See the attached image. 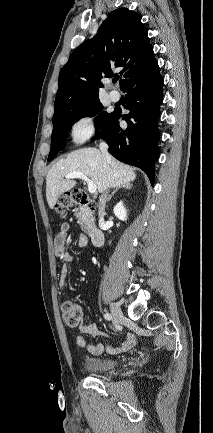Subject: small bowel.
<instances>
[{
	"instance_id": "c3829d8e",
	"label": "small bowel",
	"mask_w": 213,
	"mask_h": 433,
	"mask_svg": "<svg viewBox=\"0 0 213 433\" xmlns=\"http://www.w3.org/2000/svg\"><path fill=\"white\" fill-rule=\"evenodd\" d=\"M69 233V224L63 223L54 237L55 255L60 259V286L64 289L68 288L67 276L69 273V264L73 262L74 255L66 250V241ZM88 238L85 234H80L77 240L79 247H84L87 244ZM80 335L76 338V344L81 348H87L91 354H100L107 351L110 354H119L128 351L135 346L137 339L135 335L128 334L125 340L119 346H111L110 344L96 343L88 344L84 335L93 337L105 336V333L100 331L95 323H82L79 326Z\"/></svg>"
}]
</instances>
